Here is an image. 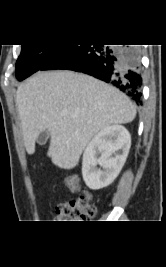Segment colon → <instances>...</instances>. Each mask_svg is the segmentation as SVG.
Instances as JSON below:
<instances>
[{
	"instance_id": "obj_1",
	"label": "colon",
	"mask_w": 166,
	"mask_h": 267,
	"mask_svg": "<svg viewBox=\"0 0 166 267\" xmlns=\"http://www.w3.org/2000/svg\"><path fill=\"white\" fill-rule=\"evenodd\" d=\"M78 189L76 179L70 178ZM96 205L92 195L88 192L83 193L80 197L70 201L60 203L57 206L58 220L56 222L68 223L88 220L95 216Z\"/></svg>"
}]
</instances>
